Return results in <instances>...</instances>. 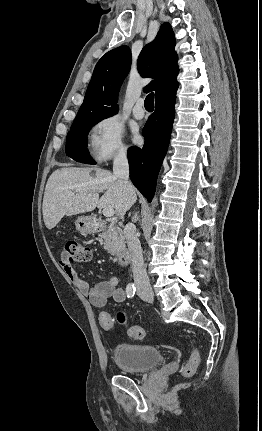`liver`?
Wrapping results in <instances>:
<instances>
[{"label":"liver","instance_id":"6515ba94","mask_svg":"<svg viewBox=\"0 0 262 431\" xmlns=\"http://www.w3.org/2000/svg\"><path fill=\"white\" fill-rule=\"evenodd\" d=\"M94 171L95 174H91ZM105 191L99 198V192ZM73 192L74 195L70 193ZM134 188L127 191L123 182L100 168L63 167L49 177L43 198V219L47 229L54 228L63 216L91 212L96 207H111L119 216L134 204Z\"/></svg>","mask_w":262,"mask_h":431}]
</instances>
